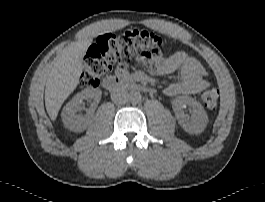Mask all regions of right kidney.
I'll return each mask as SVG.
<instances>
[{
  "label": "right kidney",
  "mask_w": 265,
  "mask_h": 202,
  "mask_svg": "<svg viewBox=\"0 0 265 202\" xmlns=\"http://www.w3.org/2000/svg\"><path fill=\"white\" fill-rule=\"evenodd\" d=\"M102 92L99 89H85L77 93L70 100L62 111V121L64 126L72 131L81 132L86 129L89 121L87 115L77 114L81 110V104L85 99H93L98 103L101 99Z\"/></svg>",
  "instance_id": "obj_1"
}]
</instances>
